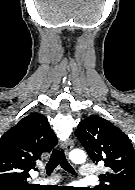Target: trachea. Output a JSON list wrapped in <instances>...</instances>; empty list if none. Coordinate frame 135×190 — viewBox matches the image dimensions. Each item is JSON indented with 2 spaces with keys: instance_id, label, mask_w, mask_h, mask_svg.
Segmentation results:
<instances>
[{
  "instance_id": "obj_1",
  "label": "trachea",
  "mask_w": 135,
  "mask_h": 190,
  "mask_svg": "<svg viewBox=\"0 0 135 190\" xmlns=\"http://www.w3.org/2000/svg\"><path fill=\"white\" fill-rule=\"evenodd\" d=\"M59 164L65 171L75 174V170L68 163L63 150L54 149L51 158L46 165L47 175H50Z\"/></svg>"
}]
</instances>
